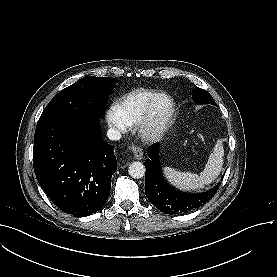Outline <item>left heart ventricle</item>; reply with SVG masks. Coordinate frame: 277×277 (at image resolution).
Returning a JSON list of instances; mask_svg holds the SVG:
<instances>
[{
    "instance_id": "1",
    "label": "left heart ventricle",
    "mask_w": 277,
    "mask_h": 277,
    "mask_svg": "<svg viewBox=\"0 0 277 277\" xmlns=\"http://www.w3.org/2000/svg\"><path fill=\"white\" fill-rule=\"evenodd\" d=\"M167 106H168V104H167L166 101L160 100V101L158 102L156 108H157L159 111H165V109H167Z\"/></svg>"
}]
</instances>
